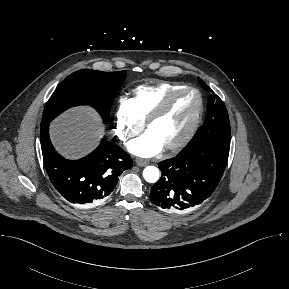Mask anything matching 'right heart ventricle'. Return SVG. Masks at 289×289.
I'll use <instances>...</instances> for the list:
<instances>
[{
	"mask_svg": "<svg viewBox=\"0 0 289 289\" xmlns=\"http://www.w3.org/2000/svg\"><path fill=\"white\" fill-rule=\"evenodd\" d=\"M183 86L182 83L178 82H163L155 85H141L136 87L131 98L136 117L140 121L145 122L148 115L167 94Z\"/></svg>",
	"mask_w": 289,
	"mask_h": 289,
	"instance_id": "e07e8e85",
	"label": "right heart ventricle"
}]
</instances>
